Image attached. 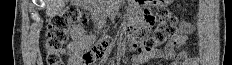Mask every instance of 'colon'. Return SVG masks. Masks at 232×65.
Wrapping results in <instances>:
<instances>
[{
  "label": "colon",
  "mask_w": 232,
  "mask_h": 65,
  "mask_svg": "<svg viewBox=\"0 0 232 65\" xmlns=\"http://www.w3.org/2000/svg\"><path fill=\"white\" fill-rule=\"evenodd\" d=\"M157 16V27L150 37L142 40L139 47L141 52L154 50L176 33L175 16L168 8L162 5V1H158ZM87 23V15L75 5L67 7L63 12L51 19L44 43L48 65H64L62 55L64 54V46L68 41L70 28L76 25H86ZM110 51V40L102 41L83 53V64H95L97 60L108 55Z\"/></svg>",
  "instance_id": "colon-1"
}]
</instances>
